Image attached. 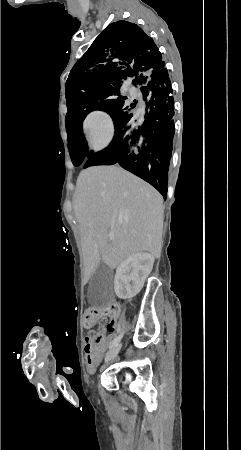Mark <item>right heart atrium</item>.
<instances>
[{
  "label": "right heart atrium",
  "instance_id": "1",
  "mask_svg": "<svg viewBox=\"0 0 241 450\" xmlns=\"http://www.w3.org/2000/svg\"><path fill=\"white\" fill-rule=\"evenodd\" d=\"M86 124L87 133L91 135H85L90 149L94 152L104 150L109 145L108 139L112 137L114 131L113 120L109 113L95 111L88 116Z\"/></svg>",
  "mask_w": 241,
  "mask_h": 450
}]
</instances>
